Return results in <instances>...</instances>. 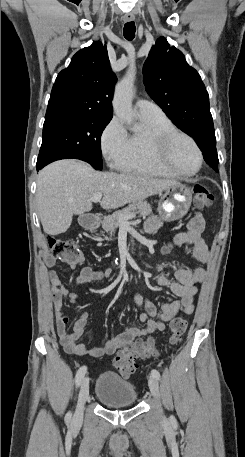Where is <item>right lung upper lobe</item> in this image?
Here are the masks:
<instances>
[{"label": "right lung upper lobe", "mask_w": 245, "mask_h": 457, "mask_svg": "<svg viewBox=\"0 0 245 457\" xmlns=\"http://www.w3.org/2000/svg\"><path fill=\"white\" fill-rule=\"evenodd\" d=\"M115 82L106 46L94 42L78 51L58 74L46 113L77 111L112 116Z\"/></svg>", "instance_id": "obj_1"}]
</instances>
